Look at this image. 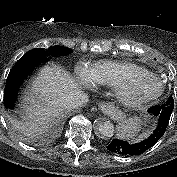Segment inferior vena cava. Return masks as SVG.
Wrapping results in <instances>:
<instances>
[{
    "label": "inferior vena cava",
    "mask_w": 177,
    "mask_h": 177,
    "mask_svg": "<svg viewBox=\"0 0 177 177\" xmlns=\"http://www.w3.org/2000/svg\"><path fill=\"white\" fill-rule=\"evenodd\" d=\"M89 96L80 90H74L69 94H66L60 100V104L63 108L70 109L76 108L86 102H88Z\"/></svg>",
    "instance_id": "obj_1"
}]
</instances>
